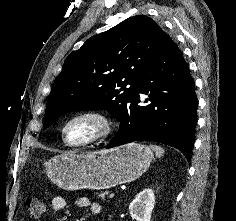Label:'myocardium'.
<instances>
[{
  "label": "myocardium",
  "instance_id": "1",
  "mask_svg": "<svg viewBox=\"0 0 236 221\" xmlns=\"http://www.w3.org/2000/svg\"><path fill=\"white\" fill-rule=\"evenodd\" d=\"M83 118H92L99 122L101 130L98 134L87 141L80 143H70L67 141L65 132L67 127L76 120ZM115 130V122L106 112L97 109H90L78 112L69 117L60 128V137L63 143L70 148H85L100 143L108 139Z\"/></svg>",
  "mask_w": 236,
  "mask_h": 221
}]
</instances>
